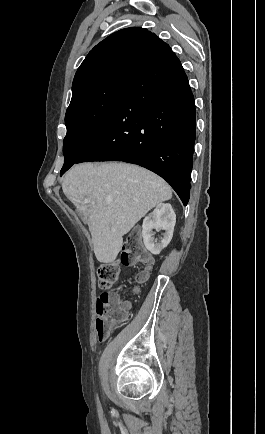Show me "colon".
I'll use <instances>...</instances> for the list:
<instances>
[{
	"label": "colon",
	"instance_id": "obj_1",
	"mask_svg": "<svg viewBox=\"0 0 265 434\" xmlns=\"http://www.w3.org/2000/svg\"><path fill=\"white\" fill-rule=\"evenodd\" d=\"M120 262L122 265L134 266L137 264H150V259L142 251V246L139 242L138 231L134 230L132 232L131 238L128 243L124 246V250L121 253ZM120 273V266L117 263H105L97 269V280L98 285L101 289H107L112 291L118 281ZM148 273L146 270L136 272L135 279L138 283H143L147 280ZM96 300L98 302L95 307L98 309L96 311V321L97 326L95 329L96 335H98V345L104 346L105 341L109 340V327H119L120 322L126 321V314L124 309L119 305L115 304L106 314L107 304L111 299L110 294L99 293L96 295Z\"/></svg>",
	"mask_w": 265,
	"mask_h": 434
}]
</instances>
